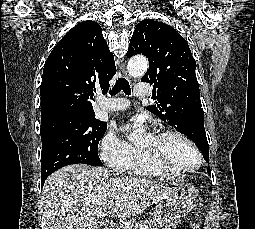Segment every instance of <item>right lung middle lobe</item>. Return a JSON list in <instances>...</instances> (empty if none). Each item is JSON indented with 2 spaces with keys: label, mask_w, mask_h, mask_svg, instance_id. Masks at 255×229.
I'll use <instances>...</instances> for the list:
<instances>
[{
  "label": "right lung middle lobe",
  "mask_w": 255,
  "mask_h": 229,
  "mask_svg": "<svg viewBox=\"0 0 255 229\" xmlns=\"http://www.w3.org/2000/svg\"><path fill=\"white\" fill-rule=\"evenodd\" d=\"M106 130L107 123L94 114L42 119V175L76 163L102 166L97 149Z\"/></svg>",
  "instance_id": "1"
}]
</instances>
